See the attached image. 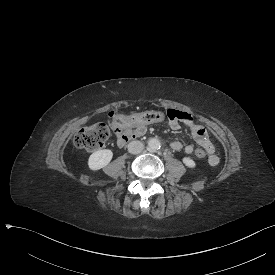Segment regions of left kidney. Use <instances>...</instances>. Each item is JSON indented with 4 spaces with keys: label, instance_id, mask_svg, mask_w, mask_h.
Listing matches in <instances>:
<instances>
[{
    "label": "left kidney",
    "instance_id": "1",
    "mask_svg": "<svg viewBox=\"0 0 275 275\" xmlns=\"http://www.w3.org/2000/svg\"><path fill=\"white\" fill-rule=\"evenodd\" d=\"M182 163L190 169H195L197 167V163L190 157H183Z\"/></svg>",
    "mask_w": 275,
    "mask_h": 275
}]
</instances>
